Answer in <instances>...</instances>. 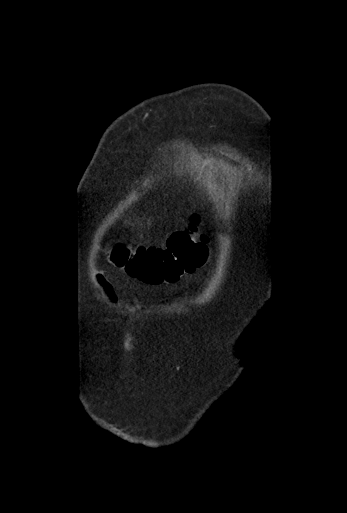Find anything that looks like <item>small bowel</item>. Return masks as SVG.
Segmentation results:
<instances>
[{
	"label": "small bowel",
	"mask_w": 347,
	"mask_h": 513,
	"mask_svg": "<svg viewBox=\"0 0 347 513\" xmlns=\"http://www.w3.org/2000/svg\"><path fill=\"white\" fill-rule=\"evenodd\" d=\"M99 281L102 282L103 286H104V289L106 290L108 296H110V298L113 300V301H116V296L114 295L113 291H112V288L110 287V285L107 283V281L105 280V278L103 277H99Z\"/></svg>",
	"instance_id": "small-bowel-1"
}]
</instances>
